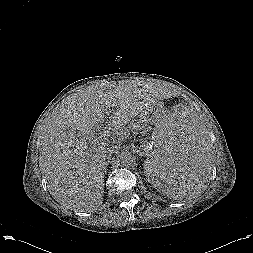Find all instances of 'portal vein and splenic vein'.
<instances>
[{
    "mask_svg": "<svg viewBox=\"0 0 253 253\" xmlns=\"http://www.w3.org/2000/svg\"><path fill=\"white\" fill-rule=\"evenodd\" d=\"M109 136L108 130L100 131L99 133H96V136H93L91 139L93 141H98L99 139H106Z\"/></svg>",
    "mask_w": 253,
    "mask_h": 253,
    "instance_id": "1",
    "label": "portal vein and splenic vein"
}]
</instances>
